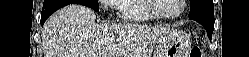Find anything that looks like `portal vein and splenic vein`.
Wrapping results in <instances>:
<instances>
[{
	"mask_svg": "<svg viewBox=\"0 0 249 57\" xmlns=\"http://www.w3.org/2000/svg\"><path fill=\"white\" fill-rule=\"evenodd\" d=\"M118 53H121V54H122V53H124V52H123V51H121V52H118Z\"/></svg>",
	"mask_w": 249,
	"mask_h": 57,
	"instance_id": "portal-vein-and-splenic-vein-1",
	"label": "portal vein and splenic vein"
}]
</instances>
